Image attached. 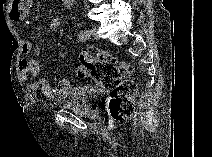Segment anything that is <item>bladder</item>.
<instances>
[{
    "instance_id": "bladder-1",
    "label": "bladder",
    "mask_w": 212,
    "mask_h": 157,
    "mask_svg": "<svg viewBox=\"0 0 212 157\" xmlns=\"http://www.w3.org/2000/svg\"><path fill=\"white\" fill-rule=\"evenodd\" d=\"M104 98V92L96 86H81L70 89L56 102L62 109H71L90 119L100 115L99 104Z\"/></svg>"
}]
</instances>
